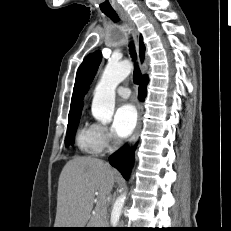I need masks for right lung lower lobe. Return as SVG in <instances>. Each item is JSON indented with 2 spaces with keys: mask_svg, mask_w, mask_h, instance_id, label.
Segmentation results:
<instances>
[{
  "mask_svg": "<svg viewBox=\"0 0 231 231\" xmlns=\"http://www.w3.org/2000/svg\"><path fill=\"white\" fill-rule=\"evenodd\" d=\"M148 83V77L145 76L142 79L139 87V99L144 100L146 96V85ZM136 146L129 148L124 146L120 150L116 151L109 157L110 164L115 167L127 180L131 173V168L134 160V151Z\"/></svg>",
  "mask_w": 231,
  "mask_h": 231,
  "instance_id": "obj_1",
  "label": "right lung lower lobe"
}]
</instances>
